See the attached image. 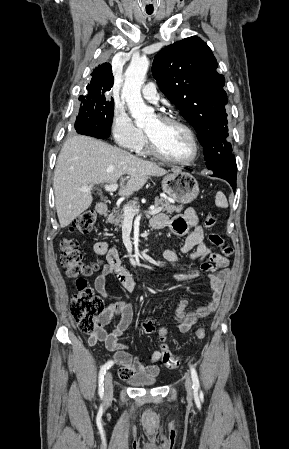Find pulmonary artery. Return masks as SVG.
<instances>
[{"label": "pulmonary artery", "instance_id": "1", "mask_svg": "<svg viewBox=\"0 0 289 449\" xmlns=\"http://www.w3.org/2000/svg\"><path fill=\"white\" fill-rule=\"evenodd\" d=\"M142 95L150 103L157 104L159 101V95L156 90V85L154 82H149L142 88Z\"/></svg>", "mask_w": 289, "mask_h": 449}]
</instances>
